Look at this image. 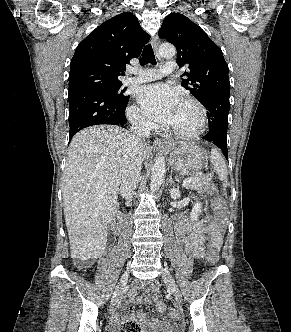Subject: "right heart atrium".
Listing matches in <instances>:
<instances>
[{"label":"right heart atrium","mask_w":291,"mask_h":332,"mask_svg":"<svg viewBox=\"0 0 291 332\" xmlns=\"http://www.w3.org/2000/svg\"><path fill=\"white\" fill-rule=\"evenodd\" d=\"M128 116L129 119L131 120V122L143 129H150L153 127V124L149 121V119L144 115V113L142 112V110L134 105L132 107H130L129 111H128Z\"/></svg>","instance_id":"obj_1"}]
</instances>
